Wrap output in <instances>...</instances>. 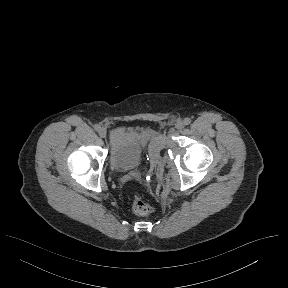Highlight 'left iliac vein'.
Listing matches in <instances>:
<instances>
[{
    "instance_id": "4c4485c4",
    "label": "left iliac vein",
    "mask_w": 288,
    "mask_h": 288,
    "mask_svg": "<svg viewBox=\"0 0 288 288\" xmlns=\"http://www.w3.org/2000/svg\"><path fill=\"white\" fill-rule=\"evenodd\" d=\"M175 128L177 130H181L184 128V123L182 121H178L176 124H175Z\"/></svg>"
}]
</instances>
